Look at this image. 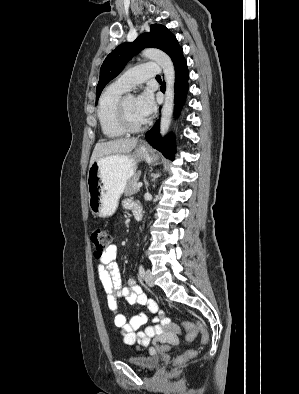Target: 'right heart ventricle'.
I'll return each mask as SVG.
<instances>
[{"label": "right heart ventricle", "instance_id": "right-heart-ventricle-1", "mask_svg": "<svg viewBox=\"0 0 299 394\" xmlns=\"http://www.w3.org/2000/svg\"><path fill=\"white\" fill-rule=\"evenodd\" d=\"M126 90L116 84H110L102 93L97 116L100 123L102 133L110 139L123 136L125 132L120 128L116 119V107L120 98L125 94Z\"/></svg>", "mask_w": 299, "mask_h": 394}]
</instances>
